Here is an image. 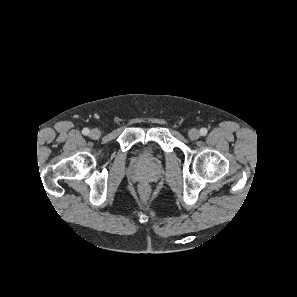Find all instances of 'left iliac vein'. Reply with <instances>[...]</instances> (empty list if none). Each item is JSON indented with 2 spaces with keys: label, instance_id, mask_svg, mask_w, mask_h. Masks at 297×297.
Returning a JSON list of instances; mask_svg holds the SVG:
<instances>
[{
  "label": "left iliac vein",
  "instance_id": "left-iliac-vein-1",
  "mask_svg": "<svg viewBox=\"0 0 297 297\" xmlns=\"http://www.w3.org/2000/svg\"><path fill=\"white\" fill-rule=\"evenodd\" d=\"M188 136L191 140H197L200 137V133L197 129L193 128L189 131Z\"/></svg>",
  "mask_w": 297,
  "mask_h": 297
}]
</instances>
